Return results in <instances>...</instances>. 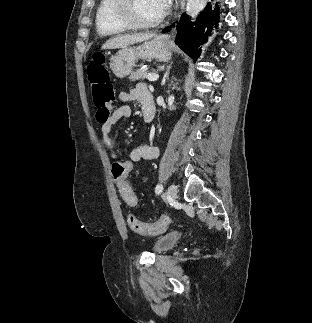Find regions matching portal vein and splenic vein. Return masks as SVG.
I'll list each match as a JSON object with an SVG mask.
<instances>
[{"mask_svg":"<svg viewBox=\"0 0 312 323\" xmlns=\"http://www.w3.org/2000/svg\"><path fill=\"white\" fill-rule=\"evenodd\" d=\"M158 78V74H149L147 80H149V82H155V80H158Z\"/></svg>","mask_w":312,"mask_h":323,"instance_id":"18ae733b","label":"portal vein and splenic vein"}]
</instances>
